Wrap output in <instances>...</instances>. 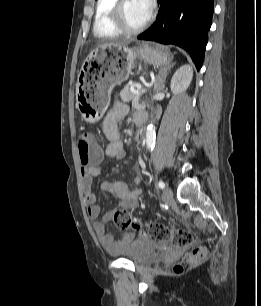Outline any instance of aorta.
<instances>
[{
  "instance_id": "762f6f07",
  "label": "aorta",
  "mask_w": 261,
  "mask_h": 306,
  "mask_svg": "<svg viewBox=\"0 0 261 306\" xmlns=\"http://www.w3.org/2000/svg\"><path fill=\"white\" fill-rule=\"evenodd\" d=\"M146 144L148 149H153L155 145V129L152 124L147 127Z\"/></svg>"
}]
</instances>
